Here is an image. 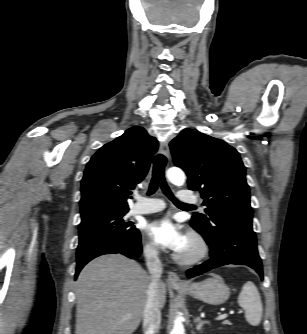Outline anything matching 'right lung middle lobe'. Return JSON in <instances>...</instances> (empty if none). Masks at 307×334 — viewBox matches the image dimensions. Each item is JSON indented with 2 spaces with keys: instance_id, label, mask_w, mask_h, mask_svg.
<instances>
[{
  "instance_id": "1",
  "label": "right lung middle lobe",
  "mask_w": 307,
  "mask_h": 334,
  "mask_svg": "<svg viewBox=\"0 0 307 334\" xmlns=\"http://www.w3.org/2000/svg\"><path fill=\"white\" fill-rule=\"evenodd\" d=\"M127 212H99L82 216L79 224L77 260L89 253L134 242L140 232L124 217Z\"/></svg>"
}]
</instances>
